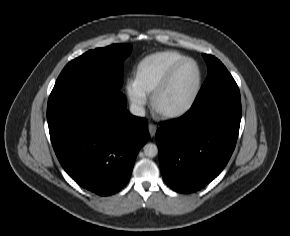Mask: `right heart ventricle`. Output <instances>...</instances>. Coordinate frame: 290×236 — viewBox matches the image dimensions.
Listing matches in <instances>:
<instances>
[{"mask_svg":"<svg viewBox=\"0 0 290 236\" xmlns=\"http://www.w3.org/2000/svg\"><path fill=\"white\" fill-rule=\"evenodd\" d=\"M184 56L175 51H164L146 57L137 67L134 81L147 94L164 80L172 66Z\"/></svg>","mask_w":290,"mask_h":236,"instance_id":"1","label":"right heart ventricle"}]
</instances>
